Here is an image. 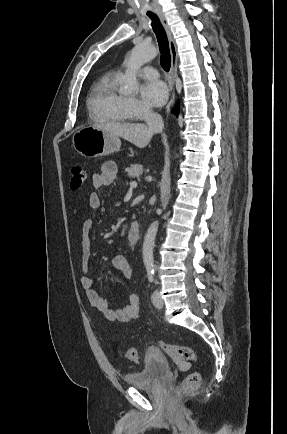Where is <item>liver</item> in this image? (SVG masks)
<instances>
[{
    "mask_svg": "<svg viewBox=\"0 0 287 434\" xmlns=\"http://www.w3.org/2000/svg\"><path fill=\"white\" fill-rule=\"evenodd\" d=\"M96 128L104 129L107 132L131 142L139 148H144L150 142L157 131L151 129L144 123H118L107 122L93 125Z\"/></svg>",
    "mask_w": 287,
    "mask_h": 434,
    "instance_id": "1",
    "label": "liver"
}]
</instances>
